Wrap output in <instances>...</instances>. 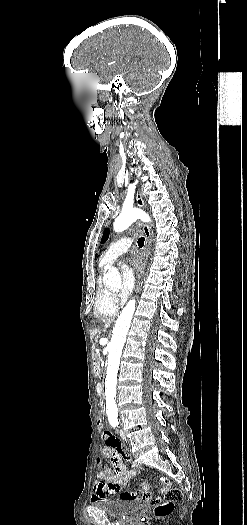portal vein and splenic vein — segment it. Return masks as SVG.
<instances>
[{
  "label": "portal vein and splenic vein",
  "mask_w": 247,
  "mask_h": 525,
  "mask_svg": "<svg viewBox=\"0 0 247 525\" xmlns=\"http://www.w3.org/2000/svg\"><path fill=\"white\" fill-rule=\"evenodd\" d=\"M100 364H102V365H101V368H104V366H105L104 361H100Z\"/></svg>",
  "instance_id": "obj_1"
}]
</instances>
